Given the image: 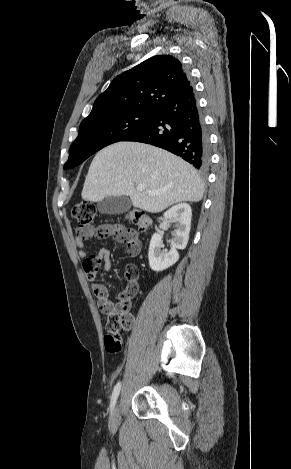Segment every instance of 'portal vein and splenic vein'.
<instances>
[{"label": "portal vein and splenic vein", "instance_id": "obj_1", "mask_svg": "<svg viewBox=\"0 0 291 469\" xmlns=\"http://www.w3.org/2000/svg\"><path fill=\"white\" fill-rule=\"evenodd\" d=\"M136 188H137L138 191H143L145 187H144L143 184H138ZM147 194L150 195V196H153V195L156 194V192H154V191H147Z\"/></svg>", "mask_w": 291, "mask_h": 469}]
</instances>
